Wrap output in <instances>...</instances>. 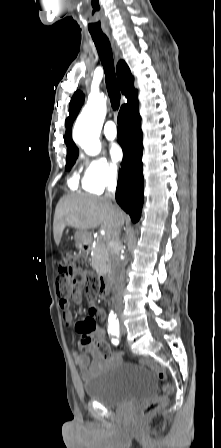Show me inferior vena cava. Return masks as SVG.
I'll list each match as a JSON object with an SVG mask.
<instances>
[{
	"instance_id": "1",
	"label": "inferior vena cava",
	"mask_w": 221,
	"mask_h": 448,
	"mask_svg": "<svg viewBox=\"0 0 221 448\" xmlns=\"http://www.w3.org/2000/svg\"><path fill=\"white\" fill-rule=\"evenodd\" d=\"M116 173H111L108 179V189L105 193V198L109 201L115 200V189H116ZM121 227L115 230L112 234V246L110 248V261H111V271L113 274V292L115 297V310L118 314L122 312V297L121 289L124 285V267L121 260L122 242L120 241Z\"/></svg>"
}]
</instances>
